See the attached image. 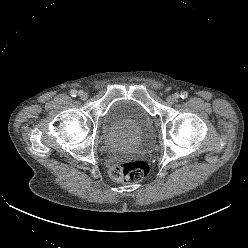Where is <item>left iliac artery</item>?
Returning <instances> with one entry per match:
<instances>
[{"mask_svg": "<svg viewBox=\"0 0 248 248\" xmlns=\"http://www.w3.org/2000/svg\"><path fill=\"white\" fill-rule=\"evenodd\" d=\"M177 98L181 97L182 99H186L188 97V93L186 91H183L180 96L176 95Z\"/></svg>", "mask_w": 248, "mask_h": 248, "instance_id": "1", "label": "left iliac artery"}]
</instances>
